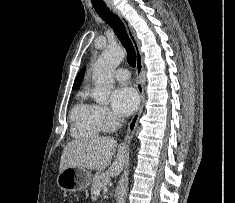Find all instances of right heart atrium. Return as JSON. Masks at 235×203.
I'll use <instances>...</instances> for the list:
<instances>
[{
    "mask_svg": "<svg viewBox=\"0 0 235 203\" xmlns=\"http://www.w3.org/2000/svg\"><path fill=\"white\" fill-rule=\"evenodd\" d=\"M94 113L98 124L105 132L112 131L119 123V119L110 109L101 104H94Z\"/></svg>",
    "mask_w": 235,
    "mask_h": 203,
    "instance_id": "obj_1",
    "label": "right heart atrium"
}]
</instances>
